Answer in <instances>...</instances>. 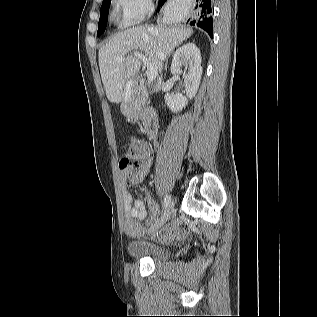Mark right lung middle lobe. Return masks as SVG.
Returning a JSON list of instances; mask_svg holds the SVG:
<instances>
[{
	"mask_svg": "<svg viewBox=\"0 0 317 317\" xmlns=\"http://www.w3.org/2000/svg\"><path fill=\"white\" fill-rule=\"evenodd\" d=\"M110 2H111V0H104L103 4L101 6L100 20H99V26H98L97 35H101L104 32L105 28H106Z\"/></svg>",
	"mask_w": 317,
	"mask_h": 317,
	"instance_id": "1",
	"label": "right lung middle lobe"
}]
</instances>
